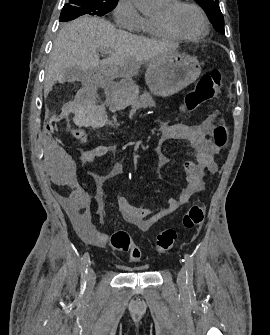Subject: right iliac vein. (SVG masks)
<instances>
[{"label":"right iliac vein","mask_w":270,"mask_h":335,"mask_svg":"<svg viewBox=\"0 0 270 335\" xmlns=\"http://www.w3.org/2000/svg\"><path fill=\"white\" fill-rule=\"evenodd\" d=\"M95 279H96V274L94 270L89 267L88 268V273H87V283L89 287H93L95 284Z\"/></svg>","instance_id":"63e3f726"}]
</instances>
